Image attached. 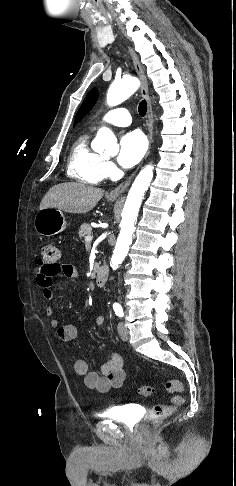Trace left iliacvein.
<instances>
[{
  "instance_id": "4c4485c4",
  "label": "left iliac vein",
  "mask_w": 236,
  "mask_h": 486,
  "mask_svg": "<svg viewBox=\"0 0 236 486\" xmlns=\"http://www.w3.org/2000/svg\"><path fill=\"white\" fill-rule=\"evenodd\" d=\"M118 334L123 341L129 339V331L123 322H119L118 324Z\"/></svg>"
}]
</instances>
